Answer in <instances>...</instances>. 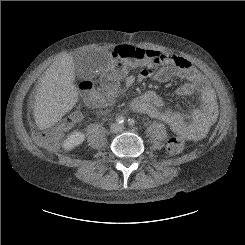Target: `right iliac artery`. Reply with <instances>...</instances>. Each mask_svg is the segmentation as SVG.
<instances>
[{
    "label": "right iliac artery",
    "mask_w": 245,
    "mask_h": 245,
    "mask_svg": "<svg viewBox=\"0 0 245 245\" xmlns=\"http://www.w3.org/2000/svg\"><path fill=\"white\" fill-rule=\"evenodd\" d=\"M116 122L119 123V124H122L125 122V118L123 116H118L116 118Z\"/></svg>",
    "instance_id": "right-iliac-artery-1"
}]
</instances>
